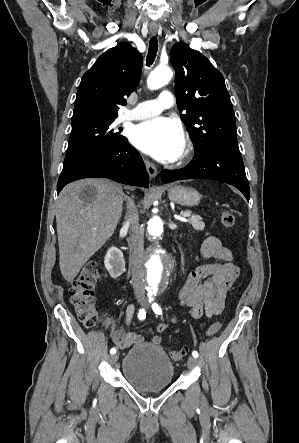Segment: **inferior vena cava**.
I'll return each mask as SVG.
<instances>
[{
  "mask_svg": "<svg viewBox=\"0 0 299 443\" xmlns=\"http://www.w3.org/2000/svg\"><path fill=\"white\" fill-rule=\"evenodd\" d=\"M131 230L129 241L131 243L132 257V286L137 297L145 296L144 282V231L139 226V217L137 208L132 201L127 211V221Z\"/></svg>",
  "mask_w": 299,
  "mask_h": 443,
  "instance_id": "1",
  "label": "inferior vena cava"
}]
</instances>
